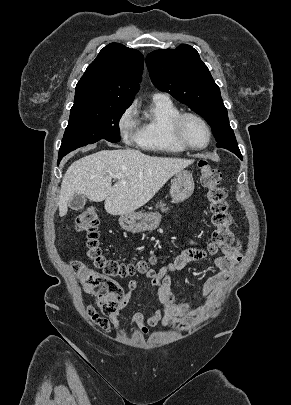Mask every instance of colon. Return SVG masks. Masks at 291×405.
I'll list each match as a JSON object with an SVG mask.
<instances>
[{"label": "colon", "mask_w": 291, "mask_h": 405, "mask_svg": "<svg viewBox=\"0 0 291 405\" xmlns=\"http://www.w3.org/2000/svg\"><path fill=\"white\" fill-rule=\"evenodd\" d=\"M199 170L200 182L206 189L213 226L210 251L215 253L220 248L232 246L234 242V235L230 230L231 217L228 212L227 192L220 186L221 173L218 169L212 167L207 161H200ZM99 225L98 213L94 207L85 208L77 216L75 227L84 237L85 256L94 268L79 260L71 261V267L85 292L96 297L102 313L111 316L119 311L123 297L122 286L115 278L146 272L148 264L144 261L124 263L106 257L99 246Z\"/></svg>", "instance_id": "5ec220e1"}]
</instances>
